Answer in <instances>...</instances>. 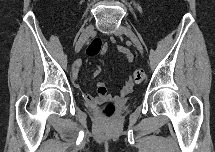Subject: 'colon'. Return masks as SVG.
I'll use <instances>...</instances> for the list:
<instances>
[{
	"label": "colon",
	"mask_w": 215,
	"mask_h": 152,
	"mask_svg": "<svg viewBox=\"0 0 215 152\" xmlns=\"http://www.w3.org/2000/svg\"><path fill=\"white\" fill-rule=\"evenodd\" d=\"M102 48V43L99 39L93 40L89 46L87 47V55L88 56H96ZM133 79L136 84L143 82L145 79V73L142 70H136L133 74ZM115 113V105L113 103H107L104 105L102 109V114L110 118Z\"/></svg>",
	"instance_id": "5ec220e1"
}]
</instances>
